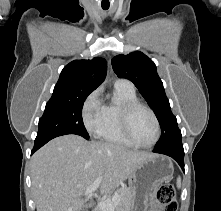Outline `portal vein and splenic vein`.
<instances>
[{"label": "portal vein and splenic vein", "mask_w": 221, "mask_h": 211, "mask_svg": "<svg viewBox=\"0 0 221 211\" xmlns=\"http://www.w3.org/2000/svg\"><path fill=\"white\" fill-rule=\"evenodd\" d=\"M102 181V177H99L95 180V182L89 186L85 191V196H92V193L99 187ZM120 196L115 194L112 198H103L98 201V206L103 211H114L115 206L119 203Z\"/></svg>", "instance_id": "obj_1"}]
</instances>
